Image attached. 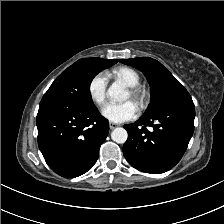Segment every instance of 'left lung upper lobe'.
<instances>
[{
    "mask_svg": "<svg viewBox=\"0 0 224 224\" xmlns=\"http://www.w3.org/2000/svg\"><path fill=\"white\" fill-rule=\"evenodd\" d=\"M120 62L142 71L150 84L151 101L144 116L154 115L169 105L191 100L184 86L157 60L139 57L121 59Z\"/></svg>",
    "mask_w": 224,
    "mask_h": 224,
    "instance_id": "1",
    "label": "left lung upper lobe"
}]
</instances>
